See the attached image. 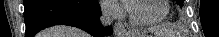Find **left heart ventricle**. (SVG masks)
Returning a JSON list of instances; mask_svg holds the SVG:
<instances>
[{"instance_id": "left-heart-ventricle-1", "label": "left heart ventricle", "mask_w": 219, "mask_h": 37, "mask_svg": "<svg viewBox=\"0 0 219 37\" xmlns=\"http://www.w3.org/2000/svg\"><path fill=\"white\" fill-rule=\"evenodd\" d=\"M131 11L140 20H154L164 12L161 0H141L132 2Z\"/></svg>"}]
</instances>
